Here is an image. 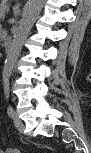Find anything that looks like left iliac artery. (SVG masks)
<instances>
[{"label":"left iliac artery","mask_w":91,"mask_h":153,"mask_svg":"<svg viewBox=\"0 0 91 153\" xmlns=\"http://www.w3.org/2000/svg\"><path fill=\"white\" fill-rule=\"evenodd\" d=\"M8 93L6 94V98L8 99ZM7 113H8V115L11 117V118H14L15 117V111H14V109L10 106V105H8V107H7Z\"/></svg>","instance_id":"44dca946"}]
</instances>
